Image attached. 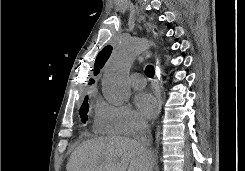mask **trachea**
I'll return each instance as SVG.
<instances>
[{
    "label": "trachea",
    "mask_w": 245,
    "mask_h": 171,
    "mask_svg": "<svg viewBox=\"0 0 245 171\" xmlns=\"http://www.w3.org/2000/svg\"><path fill=\"white\" fill-rule=\"evenodd\" d=\"M154 67L152 65H148L146 68H145V74L147 77L149 78H152L154 76Z\"/></svg>",
    "instance_id": "obj_1"
}]
</instances>
